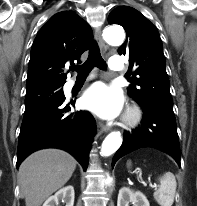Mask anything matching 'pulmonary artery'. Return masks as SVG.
<instances>
[{"instance_id":"obj_1","label":"pulmonary artery","mask_w":197,"mask_h":206,"mask_svg":"<svg viewBox=\"0 0 197 206\" xmlns=\"http://www.w3.org/2000/svg\"><path fill=\"white\" fill-rule=\"evenodd\" d=\"M110 68L113 71H122L124 66H123V62L121 60L120 57H112L110 59V63H109ZM72 82L69 83V86H72Z\"/></svg>"}]
</instances>
